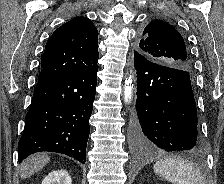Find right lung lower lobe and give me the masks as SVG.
<instances>
[{
    "instance_id": "right-lung-lower-lobe-1",
    "label": "right lung lower lobe",
    "mask_w": 224,
    "mask_h": 184,
    "mask_svg": "<svg viewBox=\"0 0 224 184\" xmlns=\"http://www.w3.org/2000/svg\"><path fill=\"white\" fill-rule=\"evenodd\" d=\"M97 71L98 65L38 81L18 143L19 162L33 153L50 151L85 163Z\"/></svg>"
}]
</instances>
